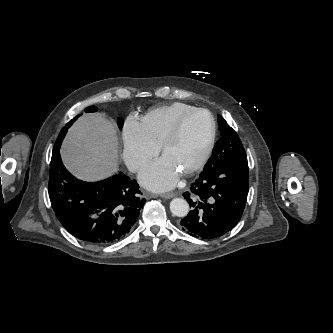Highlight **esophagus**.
Masks as SVG:
<instances>
[{
    "label": "esophagus",
    "mask_w": 333,
    "mask_h": 333,
    "mask_svg": "<svg viewBox=\"0 0 333 333\" xmlns=\"http://www.w3.org/2000/svg\"><path fill=\"white\" fill-rule=\"evenodd\" d=\"M174 196H175V193H163V194H160V197H162L164 199H169V198H172ZM147 197L154 198V197H156V195H154V194H147Z\"/></svg>",
    "instance_id": "esophagus-1"
}]
</instances>
